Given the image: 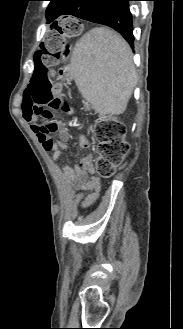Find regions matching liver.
Returning <instances> with one entry per match:
<instances>
[{
	"label": "liver",
	"instance_id": "obj_1",
	"mask_svg": "<svg viewBox=\"0 0 183 329\" xmlns=\"http://www.w3.org/2000/svg\"><path fill=\"white\" fill-rule=\"evenodd\" d=\"M69 71L84 97L100 115H119L127 107L137 75L128 43L107 27L88 31L75 44Z\"/></svg>",
	"mask_w": 183,
	"mask_h": 329
}]
</instances>
